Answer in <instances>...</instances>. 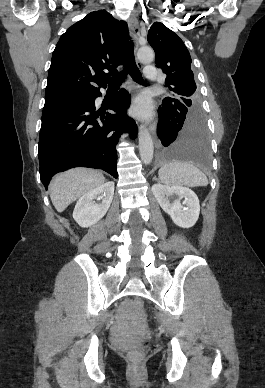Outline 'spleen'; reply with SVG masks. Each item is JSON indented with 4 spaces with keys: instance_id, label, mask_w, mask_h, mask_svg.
<instances>
[{
    "instance_id": "obj_1",
    "label": "spleen",
    "mask_w": 265,
    "mask_h": 388,
    "mask_svg": "<svg viewBox=\"0 0 265 388\" xmlns=\"http://www.w3.org/2000/svg\"><path fill=\"white\" fill-rule=\"evenodd\" d=\"M161 184L167 186H207L208 180L201 170L193 166L192 162H183V160H171L166 162L158 172Z\"/></svg>"
}]
</instances>
